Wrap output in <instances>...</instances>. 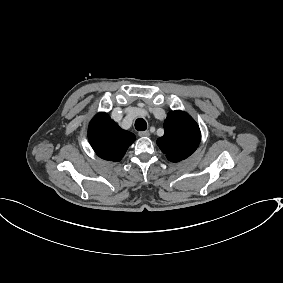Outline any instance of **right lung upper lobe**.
<instances>
[{
	"label": "right lung upper lobe",
	"mask_w": 283,
	"mask_h": 283,
	"mask_svg": "<svg viewBox=\"0 0 283 283\" xmlns=\"http://www.w3.org/2000/svg\"><path fill=\"white\" fill-rule=\"evenodd\" d=\"M88 138L100 158L113 162L120 161L135 140L134 134L122 130L106 113H98L92 119Z\"/></svg>",
	"instance_id": "1"
}]
</instances>
